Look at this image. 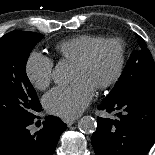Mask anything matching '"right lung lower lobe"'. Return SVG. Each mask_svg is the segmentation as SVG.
I'll return each instance as SVG.
<instances>
[{
  "label": "right lung lower lobe",
  "mask_w": 155,
  "mask_h": 155,
  "mask_svg": "<svg viewBox=\"0 0 155 155\" xmlns=\"http://www.w3.org/2000/svg\"><path fill=\"white\" fill-rule=\"evenodd\" d=\"M33 120L20 125H0V155H53L66 124L48 116L43 128L32 134L29 126Z\"/></svg>",
  "instance_id": "obj_1"
}]
</instances>
